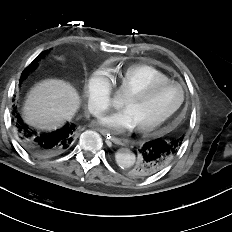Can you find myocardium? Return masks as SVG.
<instances>
[{"label": "myocardium", "instance_id": "f54148a6", "mask_svg": "<svg viewBox=\"0 0 232 232\" xmlns=\"http://www.w3.org/2000/svg\"><path fill=\"white\" fill-rule=\"evenodd\" d=\"M165 86H177L180 91H181V98L178 102V104L170 110L164 117L159 119L158 121L149 124V125H144L137 127V131L142 134H150L163 125H165L173 116L180 110L182 107L185 97H186V91L185 88L182 84H180L177 81L174 80H166V81H161V82H155L150 85H147L139 90L133 91L129 94L126 95V98L128 99H136V100H144L148 98L151 94H153L155 91L165 87Z\"/></svg>", "mask_w": 232, "mask_h": 232}]
</instances>
